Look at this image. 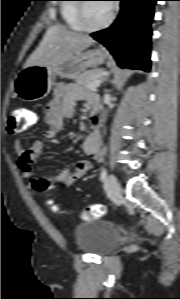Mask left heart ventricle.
Listing matches in <instances>:
<instances>
[{"instance_id": "b2bd125f", "label": "left heart ventricle", "mask_w": 180, "mask_h": 299, "mask_svg": "<svg viewBox=\"0 0 180 299\" xmlns=\"http://www.w3.org/2000/svg\"><path fill=\"white\" fill-rule=\"evenodd\" d=\"M110 13V5L104 2L86 3L85 16L87 24L97 26L104 22Z\"/></svg>"}]
</instances>
